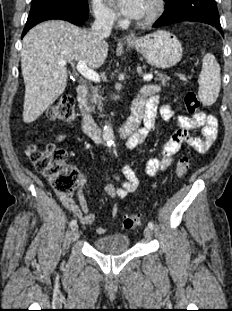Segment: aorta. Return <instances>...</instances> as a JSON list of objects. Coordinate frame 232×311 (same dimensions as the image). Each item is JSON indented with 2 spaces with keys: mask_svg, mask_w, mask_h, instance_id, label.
Returning <instances> with one entry per match:
<instances>
[{
  "mask_svg": "<svg viewBox=\"0 0 232 311\" xmlns=\"http://www.w3.org/2000/svg\"><path fill=\"white\" fill-rule=\"evenodd\" d=\"M103 139L108 147L114 145V133L111 123H106L103 128Z\"/></svg>",
  "mask_w": 232,
  "mask_h": 311,
  "instance_id": "aorta-1",
  "label": "aorta"
}]
</instances>
